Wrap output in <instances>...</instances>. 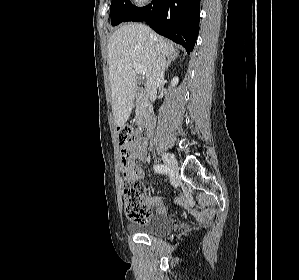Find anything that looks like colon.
<instances>
[{"label": "colon", "instance_id": "1", "mask_svg": "<svg viewBox=\"0 0 299 280\" xmlns=\"http://www.w3.org/2000/svg\"><path fill=\"white\" fill-rule=\"evenodd\" d=\"M120 151L123 164V201L127 218L135 223H144L151 216V209L142 199L143 186L141 182L130 177L128 172L127 146L135 139V130L129 125L117 128Z\"/></svg>", "mask_w": 299, "mask_h": 280}]
</instances>
